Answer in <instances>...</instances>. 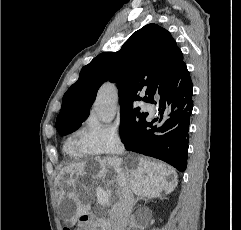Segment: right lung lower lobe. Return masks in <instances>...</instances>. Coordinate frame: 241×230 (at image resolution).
Instances as JSON below:
<instances>
[{
	"label": "right lung lower lobe",
	"mask_w": 241,
	"mask_h": 230,
	"mask_svg": "<svg viewBox=\"0 0 241 230\" xmlns=\"http://www.w3.org/2000/svg\"><path fill=\"white\" fill-rule=\"evenodd\" d=\"M193 84L186 64L168 73L147 101L159 104V117L146 119L124 141L126 150L161 159L184 171L187 166Z\"/></svg>",
	"instance_id": "right-lung-lower-lobe-1"
}]
</instances>
